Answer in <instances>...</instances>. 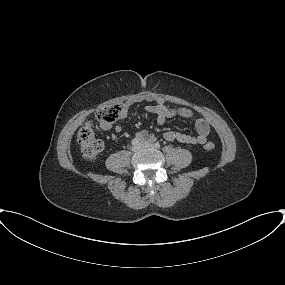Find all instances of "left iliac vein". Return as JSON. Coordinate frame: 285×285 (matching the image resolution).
I'll list each match as a JSON object with an SVG mask.
<instances>
[{"instance_id":"obj_1","label":"left iliac vein","mask_w":285,"mask_h":285,"mask_svg":"<svg viewBox=\"0 0 285 285\" xmlns=\"http://www.w3.org/2000/svg\"><path fill=\"white\" fill-rule=\"evenodd\" d=\"M142 146L143 147H150V148L154 147V145L152 143L148 142V141H143L142 142Z\"/></svg>"}]
</instances>
